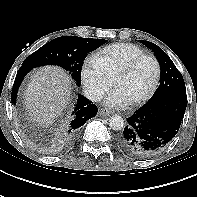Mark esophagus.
Wrapping results in <instances>:
<instances>
[{
	"label": "esophagus",
	"instance_id": "obj_1",
	"mask_svg": "<svg viewBox=\"0 0 197 197\" xmlns=\"http://www.w3.org/2000/svg\"><path fill=\"white\" fill-rule=\"evenodd\" d=\"M113 112H112V110H110V109H108V108H101L100 109V114L102 115V116H109V115H111Z\"/></svg>",
	"mask_w": 197,
	"mask_h": 197
}]
</instances>
